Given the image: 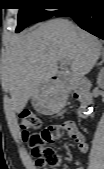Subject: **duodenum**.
Instances as JSON below:
<instances>
[{
	"label": "duodenum",
	"instance_id": "duodenum-1",
	"mask_svg": "<svg viewBox=\"0 0 104 169\" xmlns=\"http://www.w3.org/2000/svg\"><path fill=\"white\" fill-rule=\"evenodd\" d=\"M62 75L53 76L54 80L61 79ZM91 85L87 79H80L74 84V91L79 97L80 101V111L79 115L82 118L87 117L88 110L92 103V94L90 92Z\"/></svg>",
	"mask_w": 104,
	"mask_h": 169
}]
</instances>
